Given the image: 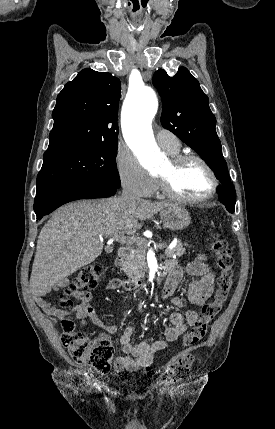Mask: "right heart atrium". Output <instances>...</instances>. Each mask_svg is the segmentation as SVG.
Listing matches in <instances>:
<instances>
[{"instance_id": "right-heart-atrium-1", "label": "right heart atrium", "mask_w": 275, "mask_h": 429, "mask_svg": "<svg viewBox=\"0 0 275 429\" xmlns=\"http://www.w3.org/2000/svg\"><path fill=\"white\" fill-rule=\"evenodd\" d=\"M116 167L121 185L130 193L144 197L155 190L156 180L127 151H118Z\"/></svg>"}]
</instances>
